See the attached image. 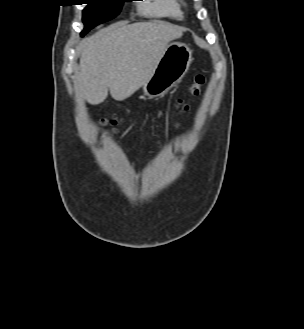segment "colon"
I'll use <instances>...</instances> for the list:
<instances>
[{"instance_id":"1","label":"colon","mask_w":304,"mask_h":329,"mask_svg":"<svg viewBox=\"0 0 304 329\" xmlns=\"http://www.w3.org/2000/svg\"><path fill=\"white\" fill-rule=\"evenodd\" d=\"M204 84V76L202 74H197L191 85L189 86V93L191 96H195L197 95L200 90H201V87L202 85ZM177 105L178 107L181 109V110H186L187 109V103H186V100L185 99H179L178 102H177ZM120 121L119 120H116V119H113V120H103L101 122V125L102 126H111V127H115L117 125H119Z\"/></svg>"}]
</instances>
